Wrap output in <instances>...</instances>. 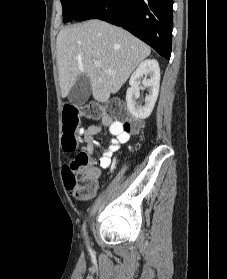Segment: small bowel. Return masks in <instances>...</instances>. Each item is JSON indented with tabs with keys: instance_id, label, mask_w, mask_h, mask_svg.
<instances>
[{
	"instance_id": "c3829d8e",
	"label": "small bowel",
	"mask_w": 227,
	"mask_h": 279,
	"mask_svg": "<svg viewBox=\"0 0 227 279\" xmlns=\"http://www.w3.org/2000/svg\"><path fill=\"white\" fill-rule=\"evenodd\" d=\"M108 129V133L111 135L109 147L104 149L98 160L97 166H91L87 170V178L90 180L96 179L101 169L107 168L112 161L113 153L119 152L122 144L126 143L130 138V132L124 130L122 127L114 128V121L110 115H105L100 120L99 124L90 125L84 133V142L86 144V151L89 155H92L99 142L94 138V135L100 134L103 128ZM63 171L66 173V169Z\"/></svg>"
}]
</instances>
